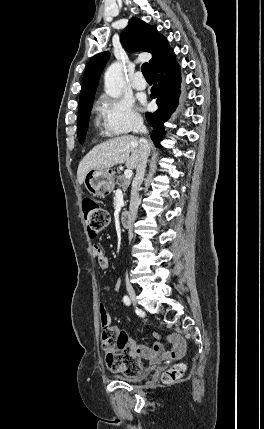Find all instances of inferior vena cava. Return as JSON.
Masks as SVG:
<instances>
[{
  "label": "inferior vena cava",
  "mask_w": 264,
  "mask_h": 429,
  "mask_svg": "<svg viewBox=\"0 0 264 429\" xmlns=\"http://www.w3.org/2000/svg\"><path fill=\"white\" fill-rule=\"evenodd\" d=\"M133 132L134 133H140V134H147L148 131L146 127L144 126L143 119L139 118L135 120L134 126H133ZM140 161L136 168V176L133 181V187L131 191V201H130V211H131V222L128 228V235L132 236L135 228V222H137V211L138 207L140 205V198H139V188L143 182L145 170H146V164L147 159L150 154V144L145 138H140Z\"/></svg>",
  "instance_id": "obj_1"
}]
</instances>
